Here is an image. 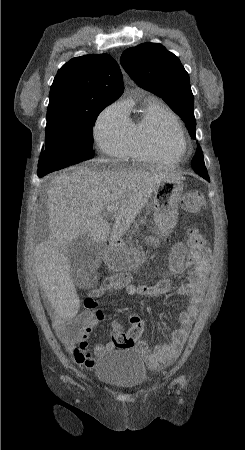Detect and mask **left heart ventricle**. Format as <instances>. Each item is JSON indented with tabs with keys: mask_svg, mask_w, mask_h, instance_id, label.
Segmentation results:
<instances>
[{
	"mask_svg": "<svg viewBox=\"0 0 245 450\" xmlns=\"http://www.w3.org/2000/svg\"><path fill=\"white\" fill-rule=\"evenodd\" d=\"M158 130L163 132L165 139L172 145L175 151L179 152L182 150V143L177 137L173 125L169 121L162 120L159 123Z\"/></svg>",
	"mask_w": 245,
	"mask_h": 450,
	"instance_id": "1",
	"label": "left heart ventricle"
}]
</instances>
